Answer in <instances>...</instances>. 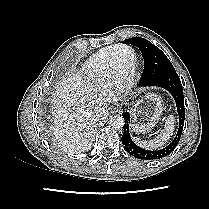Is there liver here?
Wrapping results in <instances>:
<instances>
[{"label": "liver", "instance_id": "obj_1", "mask_svg": "<svg viewBox=\"0 0 209 209\" xmlns=\"http://www.w3.org/2000/svg\"><path fill=\"white\" fill-rule=\"evenodd\" d=\"M88 80L70 74L52 94L54 104L53 134L63 151L79 153L89 147L92 124L98 115L95 108L107 98Z\"/></svg>", "mask_w": 209, "mask_h": 209}]
</instances>
